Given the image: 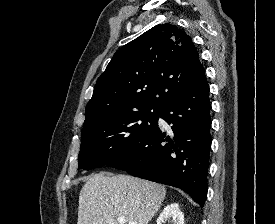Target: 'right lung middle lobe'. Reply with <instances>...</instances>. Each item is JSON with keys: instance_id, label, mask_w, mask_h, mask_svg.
Masks as SVG:
<instances>
[{"instance_id": "right-lung-middle-lobe-1", "label": "right lung middle lobe", "mask_w": 275, "mask_h": 224, "mask_svg": "<svg viewBox=\"0 0 275 224\" xmlns=\"http://www.w3.org/2000/svg\"><path fill=\"white\" fill-rule=\"evenodd\" d=\"M161 112V109H141L82 129L79 168L109 166L155 130Z\"/></svg>"}]
</instances>
